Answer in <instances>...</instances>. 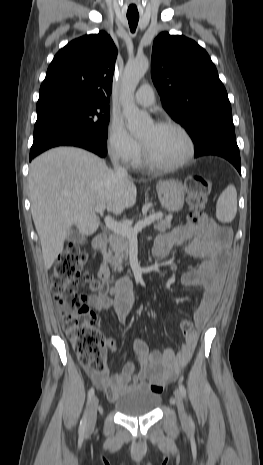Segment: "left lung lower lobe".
<instances>
[{"instance_id":"1","label":"left lung lower lobe","mask_w":263,"mask_h":465,"mask_svg":"<svg viewBox=\"0 0 263 465\" xmlns=\"http://www.w3.org/2000/svg\"><path fill=\"white\" fill-rule=\"evenodd\" d=\"M203 155H218L229 160L241 173L239 148L234 130H217L210 133L204 142L195 146V157Z\"/></svg>"}]
</instances>
